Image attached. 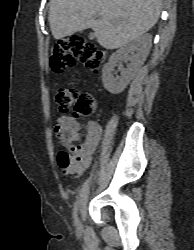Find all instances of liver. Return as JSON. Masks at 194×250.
<instances>
[{"mask_svg": "<svg viewBox=\"0 0 194 250\" xmlns=\"http://www.w3.org/2000/svg\"><path fill=\"white\" fill-rule=\"evenodd\" d=\"M162 0H51L48 21L55 39L92 29L106 49L123 47L158 21ZM100 19L95 20V16Z\"/></svg>", "mask_w": 194, "mask_h": 250, "instance_id": "obj_1", "label": "liver"}]
</instances>
